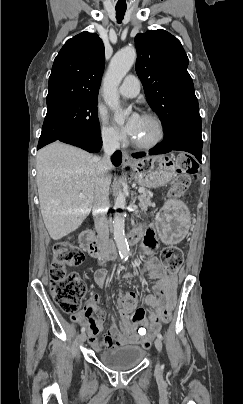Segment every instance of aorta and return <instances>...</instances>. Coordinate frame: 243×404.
Returning a JSON list of instances; mask_svg holds the SVG:
<instances>
[{"label":"aorta","mask_w":243,"mask_h":404,"mask_svg":"<svg viewBox=\"0 0 243 404\" xmlns=\"http://www.w3.org/2000/svg\"><path fill=\"white\" fill-rule=\"evenodd\" d=\"M136 60V50L133 46H126L113 56L109 68L103 80V98L105 104L114 110V120L118 126H123L126 116H129L130 110L121 112L118 86L121 84L124 76L131 70ZM112 230L120 258L126 260L129 252L128 242L125 236V218H126V198L122 192H119L114 205Z\"/></svg>","instance_id":"aorta-1"}]
</instances>
